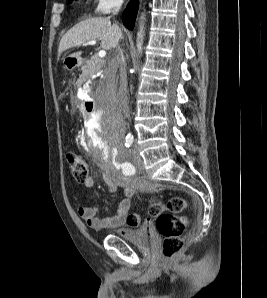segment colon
<instances>
[{"label": "colon", "mask_w": 267, "mask_h": 298, "mask_svg": "<svg viewBox=\"0 0 267 298\" xmlns=\"http://www.w3.org/2000/svg\"><path fill=\"white\" fill-rule=\"evenodd\" d=\"M68 166L74 179L85 184L89 179V167L80 155L70 152L66 156ZM187 201L181 197H172L166 202L152 203L148 208L150 217L156 219V227L163 237L162 252L166 259L176 256L184 246V233L188 227V218L185 215ZM142 218L138 213H131L127 223L131 227L141 224Z\"/></svg>", "instance_id": "5ec220e1"}]
</instances>
